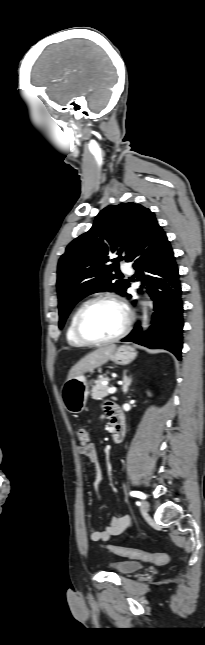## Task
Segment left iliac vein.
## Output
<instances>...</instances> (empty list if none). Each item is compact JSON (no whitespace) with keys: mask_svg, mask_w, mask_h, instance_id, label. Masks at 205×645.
<instances>
[{"mask_svg":"<svg viewBox=\"0 0 205 645\" xmlns=\"http://www.w3.org/2000/svg\"><path fill=\"white\" fill-rule=\"evenodd\" d=\"M140 511H141V513H143V514H147V513H148V511H149V503H148V501H146V500H142V501H141Z\"/></svg>","mask_w":205,"mask_h":645,"instance_id":"1","label":"left iliac vein"}]
</instances>
